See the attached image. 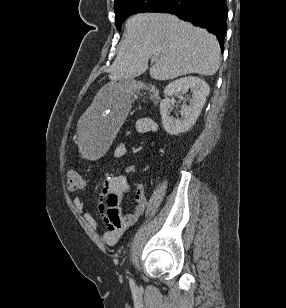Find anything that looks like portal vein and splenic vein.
Wrapping results in <instances>:
<instances>
[{"label": "portal vein and splenic vein", "mask_w": 286, "mask_h": 308, "mask_svg": "<svg viewBox=\"0 0 286 308\" xmlns=\"http://www.w3.org/2000/svg\"><path fill=\"white\" fill-rule=\"evenodd\" d=\"M157 52H158L157 50H154L153 53H152L153 56H154V55H157Z\"/></svg>", "instance_id": "portal-vein-and-splenic-vein-1"}]
</instances>
